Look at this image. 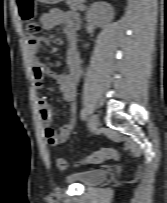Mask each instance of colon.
I'll return each instance as SVG.
<instances>
[{
  "label": "colon",
  "mask_w": 167,
  "mask_h": 203,
  "mask_svg": "<svg viewBox=\"0 0 167 203\" xmlns=\"http://www.w3.org/2000/svg\"><path fill=\"white\" fill-rule=\"evenodd\" d=\"M17 8L19 16L26 23V34L32 37L38 35L41 31V27L35 20V8L33 0H17ZM119 157V152L117 150L106 149L89 154L77 164H98L107 160H118ZM56 166L60 170H65L69 167V164L64 158L57 157Z\"/></svg>",
  "instance_id": "obj_1"
}]
</instances>
